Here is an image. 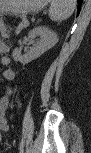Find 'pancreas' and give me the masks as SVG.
<instances>
[{
    "label": "pancreas",
    "instance_id": "obj_1",
    "mask_svg": "<svg viewBox=\"0 0 91 153\" xmlns=\"http://www.w3.org/2000/svg\"><path fill=\"white\" fill-rule=\"evenodd\" d=\"M23 24H25V21H23L21 25H23Z\"/></svg>",
    "mask_w": 91,
    "mask_h": 153
}]
</instances>
